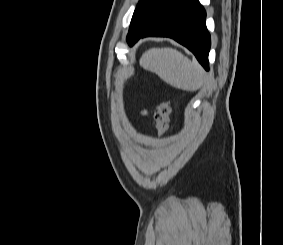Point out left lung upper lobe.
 <instances>
[{
	"label": "left lung upper lobe",
	"mask_w": 283,
	"mask_h": 245,
	"mask_svg": "<svg viewBox=\"0 0 283 245\" xmlns=\"http://www.w3.org/2000/svg\"><path fill=\"white\" fill-rule=\"evenodd\" d=\"M174 0H140L132 17L127 35L129 45L146 31L170 7Z\"/></svg>",
	"instance_id": "left-lung-upper-lobe-1"
}]
</instances>
